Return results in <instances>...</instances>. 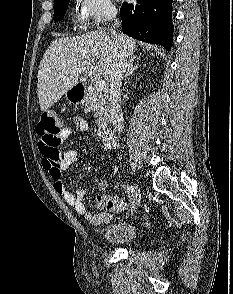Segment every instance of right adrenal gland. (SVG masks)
<instances>
[{"label": "right adrenal gland", "mask_w": 233, "mask_h": 294, "mask_svg": "<svg viewBox=\"0 0 233 294\" xmlns=\"http://www.w3.org/2000/svg\"><path fill=\"white\" fill-rule=\"evenodd\" d=\"M135 59H136V56H132L130 58L129 64H128V69H127V72L125 74V79H127L133 73V71L138 68L139 64L133 66V62H134Z\"/></svg>", "instance_id": "2a0ac1e0"}]
</instances>
